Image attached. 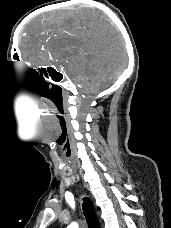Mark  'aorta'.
Masks as SVG:
<instances>
[{"label":"aorta","mask_w":171,"mask_h":228,"mask_svg":"<svg viewBox=\"0 0 171 228\" xmlns=\"http://www.w3.org/2000/svg\"><path fill=\"white\" fill-rule=\"evenodd\" d=\"M67 228H78L77 223H71Z\"/></svg>","instance_id":"1"}]
</instances>
